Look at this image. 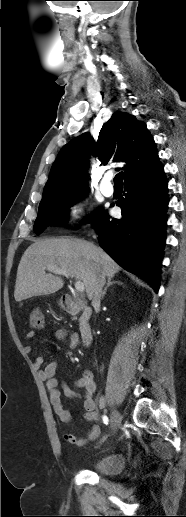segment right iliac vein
<instances>
[{
    "instance_id": "63e3f726",
    "label": "right iliac vein",
    "mask_w": 186,
    "mask_h": 517,
    "mask_svg": "<svg viewBox=\"0 0 186 517\" xmlns=\"http://www.w3.org/2000/svg\"><path fill=\"white\" fill-rule=\"evenodd\" d=\"M122 421V417L120 413L117 410H112L111 412V425L113 431H116L117 428L120 426Z\"/></svg>"
}]
</instances>
